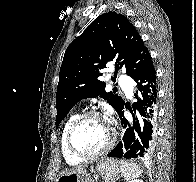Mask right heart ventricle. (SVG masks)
<instances>
[{
    "instance_id": "1",
    "label": "right heart ventricle",
    "mask_w": 196,
    "mask_h": 182,
    "mask_svg": "<svg viewBox=\"0 0 196 182\" xmlns=\"http://www.w3.org/2000/svg\"><path fill=\"white\" fill-rule=\"evenodd\" d=\"M78 116V114H72L64 123L63 129H62V134H61V150L62 154L66 160V162L70 165H78L80 164L83 160L80 158L75 157L72 155L66 145V135L67 131L71 125V123L74 121V119Z\"/></svg>"
}]
</instances>
